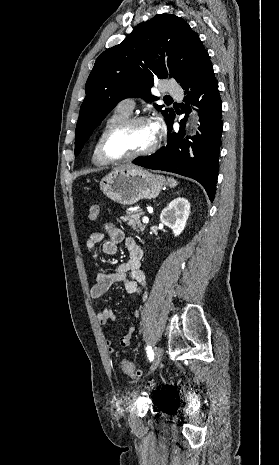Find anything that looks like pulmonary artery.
<instances>
[{"instance_id": "1", "label": "pulmonary artery", "mask_w": 279, "mask_h": 465, "mask_svg": "<svg viewBox=\"0 0 279 465\" xmlns=\"http://www.w3.org/2000/svg\"><path fill=\"white\" fill-rule=\"evenodd\" d=\"M166 91L176 97L181 96V89L176 85H168L166 87ZM118 106L121 107L123 110L131 113L135 107V101L132 98H127L122 100Z\"/></svg>"}]
</instances>
